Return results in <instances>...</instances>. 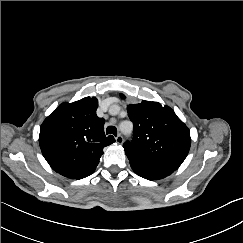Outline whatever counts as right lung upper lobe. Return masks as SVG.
Masks as SVG:
<instances>
[{"label": "right lung upper lobe", "instance_id": "1", "mask_svg": "<svg viewBox=\"0 0 243 243\" xmlns=\"http://www.w3.org/2000/svg\"><path fill=\"white\" fill-rule=\"evenodd\" d=\"M97 107L96 98L85 97L60 104L44 120L39 145L54 171L67 178H84L96 169L103 148L115 142L113 136H105Z\"/></svg>", "mask_w": 243, "mask_h": 243}]
</instances>
